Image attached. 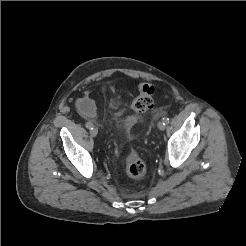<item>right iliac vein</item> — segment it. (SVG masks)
Returning <instances> with one entry per match:
<instances>
[{"label":"right iliac vein","instance_id":"63e3f726","mask_svg":"<svg viewBox=\"0 0 246 246\" xmlns=\"http://www.w3.org/2000/svg\"><path fill=\"white\" fill-rule=\"evenodd\" d=\"M90 133L93 137H95L98 134L97 128L94 127L93 129H91Z\"/></svg>","mask_w":246,"mask_h":246}]
</instances>
